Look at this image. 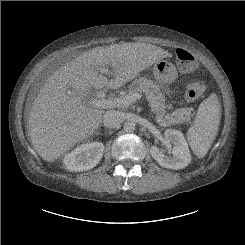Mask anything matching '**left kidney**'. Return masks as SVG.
<instances>
[{"label": "left kidney", "instance_id": "1", "mask_svg": "<svg viewBox=\"0 0 245 245\" xmlns=\"http://www.w3.org/2000/svg\"><path fill=\"white\" fill-rule=\"evenodd\" d=\"M164 137L168 144H173L172 156L164 155L156 146L150 148L151 156L164 168L182 169L188 166L191 162V154L183 133L179 130L167 129Z\"/></svg>", "mask_w": 245, "mask_h": 245}]
</instances>
